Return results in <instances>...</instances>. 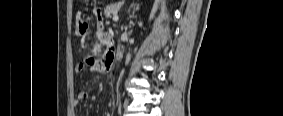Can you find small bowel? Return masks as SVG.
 I'll list each match as a JSON object with an SVG mask.
<instances>
[{
  "label": "small bowel",
  "instance_id": "obj_1",
  "mask_svg": "<svg viewBox=\"0 0 283 116\" xmlns=\"http://www.w3.org/2000/svg\"><path fill=\"white\" fill-rule=\"evenodd\" d=\"M93 13L97 20V38L100 43H107L109 40V36L104 31V20L102 11L100 8H95L93 10ZM87 30L88 24L81 20L78 24L77 33L79 35H84ZM95 51H99V48L97 47ZM110 59L114 60V51L111 49H109L101 58L85 57L76 64L75 72L77 74H81L86 69H88L92 73H106L109 71L112 65L109 62ZM89 98L90 93L87 90H81L77 94L76 103L86 101Z\"/></svg>",
  "mask_w": 283,
  "mask_h": 116
}]
</instances>
